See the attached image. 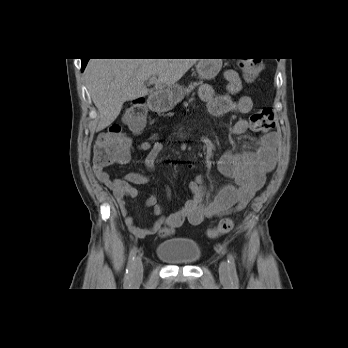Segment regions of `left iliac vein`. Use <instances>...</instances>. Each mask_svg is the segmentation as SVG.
Segmentation results:
<instances>
[{
  "label": "left iliac vein",
  "instance_id": "4c4485c4",
  "mask_svg": "<svg viewBox=\"0 0 348 348\" xmlns=\"http://www.w3.org/2000/svg\"><path fill=\"white\" fill-rule=\"evenodd\" d=\"M219 276L223 282H228L230 280L229 267L226 261H221L220 263Z\"/></svg>",
  "mask_w": 348,
  "mask_h": 348
}]
</instances>
